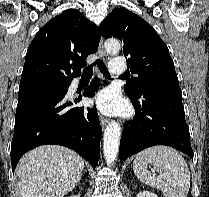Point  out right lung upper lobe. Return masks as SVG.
Listing matches in <instances>:
<instances>
[{
	"instance_id": "obj_1",
	"label": "right lung upper lobe",
	"mask_w": 209,
	"mask_h": 197,
	"mask_svg": "<svg viewBox=\"0 0 209 197\" xmlns=\"http://www.w3.org/2000/svg\"><path fill=\"white\" fill-rule=\"evenodd\" d=\"M101 32L78 10L69 9L51 19L31 42L25 58L19 89L70 84L96 52Z\"/></svg>"
}]
</instances>
